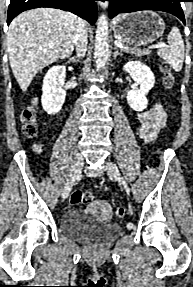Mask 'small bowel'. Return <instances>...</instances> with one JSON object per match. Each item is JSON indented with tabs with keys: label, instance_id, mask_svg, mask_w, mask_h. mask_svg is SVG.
Segmentation results:
<instances>
[{
	"label": "small bowel",
	"instance_id": "c3829d8e",
	"mask_svg": "<svg viewBox=\"0 0 193 287\" xmlns=\"http://www.w3.org/2000/svg\"><path fill=\"white\" fill-rule=\"evenodd\" d=\"M136 115L138 119L136 130L147 142L154 139L166 121V113L160 102H155L150 109L139 111Z\"/></svg>",
	"mask_w": 193,
	"mask_h": 287
}]
</instances>
